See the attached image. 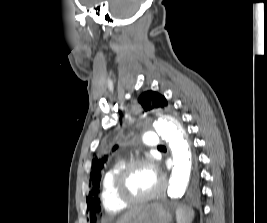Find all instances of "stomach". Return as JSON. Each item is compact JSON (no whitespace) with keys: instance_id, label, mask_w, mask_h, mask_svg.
<instances>
[{"instance_id":"0dacf381","label":"stomach","mask_w":267,"mask_h":223,"mask_svg":"<svg viewBox=\"0 0 267 223\" xmlns=\"http://www.w3.org/2000/svg\"><path fill=\"white\" fill-rule=\"evenodd\" d=\"M171 221L170 207L161 201H155L142 205L140 212L126 223H170Z\"/></svg>"}]
</instances>
